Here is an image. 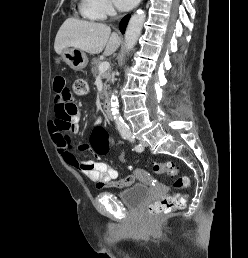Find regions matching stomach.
<instances>
[{
	"label": "stomach",
	"mask_w": 248,
	"mask_h": 258,
	"mask_svg": "<svg viewBox=\"0 0 248 258\" xmlns=\"http://www.w3.org/2000/svg\"><path fill=\"white\" fill-rule=\"evenodd\" d=\"M61 61H64L69 67L77 71L84 69L88 64V58L83 51L70 47L65 48L60 57L55 59L57 65Z\"/></svg>",
	"instance_id": "obj_1"
}]
</instances>
